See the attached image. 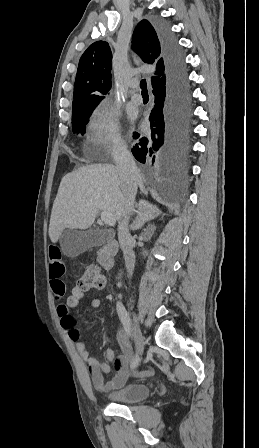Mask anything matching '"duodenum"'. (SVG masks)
Instances as JSON below:
<instances>
[{
  "mask_svg": "<svg viewBox=\"0 0 259 448\" xmlns=\"http://www.w3.org/2000/svg\"><path fill=\"white\" fill-rule=\"evenodd\" d=\"M117 251V242L112 238H107L98 252V264L105 270H111L114 266V259Z\"/></svg>",
  "mask_w": 259,
  "mask_h": 448,
  "instance_id": "obj_1",
  "label": "duodenum"
}]
</instances>
